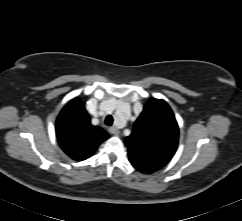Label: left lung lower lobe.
<instances>
[{"mask_svg":"<svg viewBox=\"0 0 242 221\" xmlns=\"http://www.w3.org/2000/svg\"><path fill=\"white\" fill-rule=\"evenodd\" d=\"M130 162L137 170H139L142 173H146V174H150L161 168L160 166H155V165L146 164V163H140V162H136V161H130Z\"/></svg>","mask_w":242,"mask_h":221,"instance_id":"obj_1","label":"left lung lower lobe"}]
</instances>
